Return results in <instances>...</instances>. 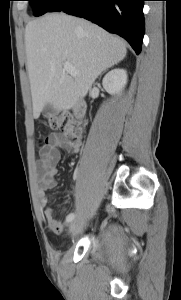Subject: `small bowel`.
I'll return each mask as SVG.
<instances>
[{"mask_svg":"<svg viewBox=\"0 0 181 300\" xmlns=\"http://www.w3.org/2000/svg\"><path fill=\"white\" fill-rule=\"evenodd\" d=\"M66 145L64 139L58 134H51L45 145L41 148V157L36 164V179L38 195L43 206V214L51 230L61 233L64 225L54 216V211L48 206L49 197L47 191L56 186L57 164L61 159V149ZM70 151L76 154L79 151L77 144L70 146Z\"/></svg>","mask_w":181,"mask_h":300,"instance_id":"obj_1","label":"small bowel"}]
</instances>
